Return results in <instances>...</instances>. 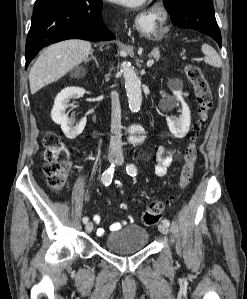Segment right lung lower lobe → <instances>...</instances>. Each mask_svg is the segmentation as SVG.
<instances>
[{"mask_svg":"<svg viewBox=\"0 0 247 299\" xmlns=\"http://www.w3.org/2000/svg\"><path fill=\"white\" fill-rule=\"evenodd\" d=\"M100 0H62L33 13L26 40L25 68L45 46L66 39L107 41L115 35L105 26Z\"/></svg>","mask_w":247,"mask_h":299,"instance_id":"98d812e1","label":"right lung lower lobe"}]
</instances>
